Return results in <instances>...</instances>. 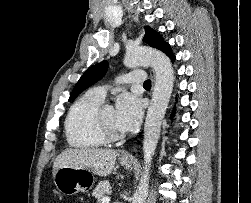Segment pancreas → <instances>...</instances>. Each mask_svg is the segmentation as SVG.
Segmentation results:
<instances>
[{
	"label": "pancreas",
	"instance_id": "1",
	"mask_svg": "<svg viewBox=\"0 0 251 203\" xmlns=\"http://www.w3.org/2000/svg\"><path fill=\"white\" fill-rule=\"evenodd\" d=\"M111 190L110 183L108 181H100L96 188L93 190V196L101 203L102 198L109 194Z\"/></svg>",
	"mask_w": 251,
	"mask_h": 203
}]
</instances>
